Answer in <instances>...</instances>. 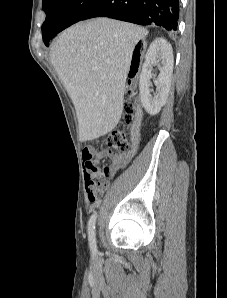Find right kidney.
I'll return each instance as SVG.
<instances>
[{"mask_svg":"<svg viewBox=\"0 0 227 298\" xmlns=\"http://www.w3.org/2000/svg\"><path fill=\"white\" fill-rule=\"evenodd\" d=\"M155 65H158L160 73L154 80L156 91L151 95L150 79L154 77L152 70ZM173 65L174 57L171 44L163 38L155 39L146 53L139 79L141 103L150 115H156L166 103L171 86Z\"/></svg>","mask_w":227,"mask_h":298,"instance_id":"ca27d5eb","label":"right kidney"}]
</instances>
